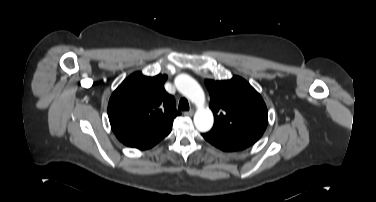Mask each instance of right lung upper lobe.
Returning a JSON list of instances; mask_svg holds the SVG:
<instances>
[{
    "mask_svg": "<svg viewBox=\"0 0 376 202\" xmlns=\"http://www.w3.org/2000/svg\"><path fill=\"white\" fill-rule=\"evenodd\" d=\"M166 75L154 77L135 72L113 92L108 117L116 137L126 146L148 149L172 129L175 100L164 89Z\"/></svg>",
    "mask_w": 376,
    "mask_h": 202,
    "instance_id": "right-lung-upper-lobe-1",
    "label": "right lung upper lobe"
}]
</instances>
